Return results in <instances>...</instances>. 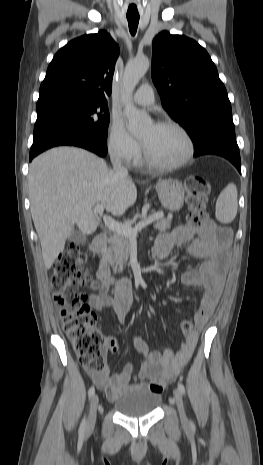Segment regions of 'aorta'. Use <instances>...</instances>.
<instances>
[{
  "mask_svg": "<svg viewBox=\"0 0 263 465\" xmlns=\"http://www.w3.org/2000/svg\"><path fill=\"white\" fill-rule=\"evenodd\" d=\"M149 65L147 57L135 58L127 63L124 71L122 100L124 114L128 119V128L133 134L143 132L151 122L150 117L145 112L138 110L132 101L133 91L147 72Z\"/></svg>",
  "mask_w": 263,
  "mask_h": 465,
  "instance_id": "obj_1",
  "label": "aorta"
}]
</instances>
